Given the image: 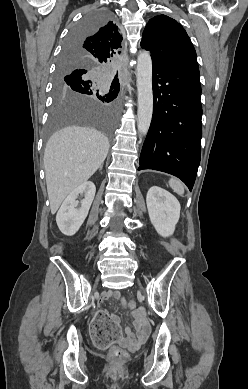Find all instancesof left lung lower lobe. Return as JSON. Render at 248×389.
I'll return each mask as SVG.
<instances>
[{
	"mask_svg": "<svg viewBox=\"0 0 248 389\" xmlns=\"http://www.w3.org/2000/svg\"><path fill=\"white\" fill-rule=\"evenodd\" d=\"M153 65V116L138 170L154 169L180 178L192 190L201 154L202 106L195 60Z\"/></svg>",
	"mask_w": 248,
	"mask_h": 389,
	"instance_id": "obj_1",
	"label": "left lung lower lobe"
}]
</instances>
